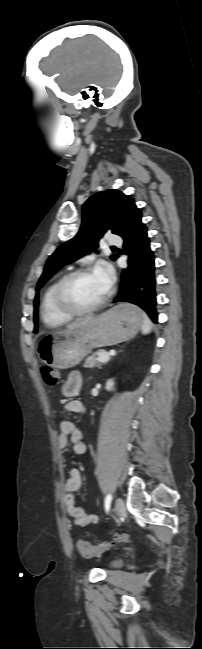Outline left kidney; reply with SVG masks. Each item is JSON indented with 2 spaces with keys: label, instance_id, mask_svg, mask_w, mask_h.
<instances>
[{
  "label": "left kidney",
  "instance_id": "left-kidney-1",
  "mask_svg": "<svg viewBox=\"0 0 202 649\" xmlns=\"http://www.w3.org/2000/svg\"><path fill=\"white\" fill-rule=\"evenodd\" d=\"M106 389L108 391H113L114 390V381L112 379L108 380L106 382Z\"/></svg>",
  "mask_w": 202,
  "mask_h": 649
}]
</instances>
